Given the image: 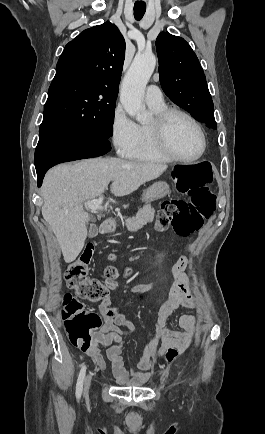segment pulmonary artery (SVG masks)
I'll return each mask as SVG.
<instances>
[{"label":"pulmonary artery","instance_id":"e3ab8cb5","mask_svg":"<svg viewBox=\"0 0 265 434\" xmlns=\"http://www.w3.org/2000/svg\"><path fill=\"white\" fill-rule=\"evenodd\" d=\"M152 86L149 85L145 92V101L148 105L158 104L165 98L164 91H161L159 87Z\"/></svg>","mask_w":265,"mask_h":434}]
</instances>
